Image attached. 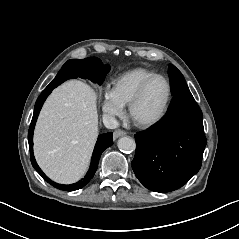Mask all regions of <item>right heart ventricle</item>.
Segmentation results:
<instances>
[{
  "label": "right heart ventricle",
  "instance_id": "1",
  "mask_svg": "<svg viewBox=\"0 0 239 239\" xmlns=\"http://www.w3.org/2000/svg\"><path fill=\"white\" fill-rule=\"evenodd\" d=\"M154 75V71L144 67L128 70L112 81L110 92L123 107H126L139 87Z\"/></svg>",
  "mask_w": 239,
  "mask_h": 239
}]
</instances>
